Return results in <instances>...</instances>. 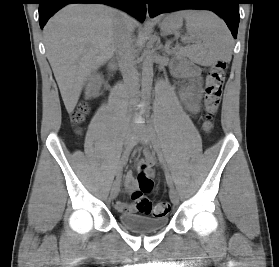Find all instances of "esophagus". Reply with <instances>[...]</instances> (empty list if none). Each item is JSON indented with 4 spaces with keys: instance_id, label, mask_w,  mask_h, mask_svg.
<instances>
[{
    "instance_id": "1",
    "label": "esophagus",
    "mask_w": 279,
    "mask_h": 267,
    "mask_svg": "<svg viewBox=\"0 0 279 267\" xmlns=\"http://www.w3.org/2000/svg\"><path fill=\"white\" fill-rule=\"evenodd\" d=\"M147 16L149 17V15H148V7H147Z\"/></svg>"
}]
</instances>
